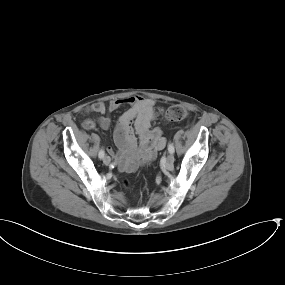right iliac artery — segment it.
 <instances>
[{"mask_svg":"<svg viewBox=\"0 0 285 285\" xmlns=\"http://www.w3.org/2000/svg\"><path fill=\"white\" fill-rule=\"evenodd\" d=\"M104 155H105V152H104V150L103 149H101L100 151H99V158H103L104 157Z\"/></svg>","mask_w":285,"mask_h":285,"instance_id":"1","label":"right iliac artery"}]
</instances>
